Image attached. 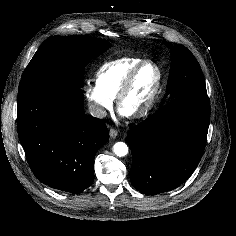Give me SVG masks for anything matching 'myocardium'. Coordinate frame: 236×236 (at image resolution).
Masks as SVG:
<instances>
[{"label":"myocardium","instance_id":"myocardium-1","mask_svg":"<svg viewBox=\"0 0 236 236\" xmlns=\"http://www.w3.org/2000/svg\"><path fill=\"white\" fill-rule=\"evenodd\" d=\"M147 65H152L157 69V72H158L157 85H156V88L153 91L149 101L147 102V104L139 111L127 115V117L132 120H138V119L148 116L152 112L154 107L156 106V104L160 98V94L162 92L163 83H164V73H163L161 66L153 60H144L143 62H141L140 64L135 66L126 76V78H125V80H124V82L117 94V97H116V104H117L118 110L120 112H122L121 107H122L123 100L125 99V97L129 93V91L131 90V87L134 83V80H135L137 74L140 72V70L142 68H144Z\"/></svg>","mask_w":236,"mask_h":236}]
</instances>
